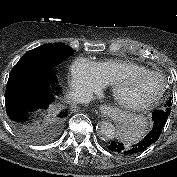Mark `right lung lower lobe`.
<instances>
[{"label":"right lung lower lobe","mask_w":177,"mask_h":177,"mask_svg":"<svg viewBox=\"0 0 177 177\" xmlns=\"http://www.w3.org/2000/svg\"><path fill=\"white\" fill-rule=\"evenodd\" d=\"M53 66L33 58H21L14 66L7 83L5 104L9 118L15 124H24L41 110L52 109L60 93ZM67 111L54 117L64 119Z\"/></svg>","instance_id":"1"}]
</instances>
